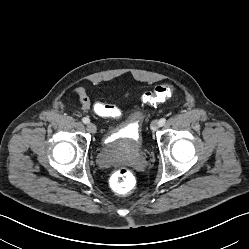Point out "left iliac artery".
I'll list each match as a JSON object with an SVG mask.
<instances>
[{
  "label": "left iliac artery",
  "instance_id": "obj_1",
  "mask_svg": "<svg viewBox=\"0 0 249 249\" xmlns=\"http://www.w3.org/2000/svg\"><path fill=\"white\" fill-rule=\"evenodd\" d=\"M165 122H166V119H165V118H161V119L158 121V124H159V126L161 127V126H163V125L165 124Z\"/></svg>",
  "mask_w": 249,
  "mask_h": 249
}]
</instances>
